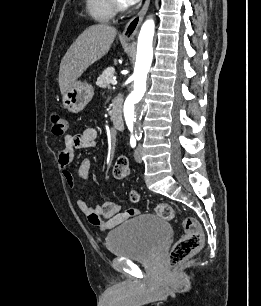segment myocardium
<instances>
[{"label": "myocardium", "mask_w": 261, "mask_h": 306, "mask_svg": "<svg viewBox=\"0 0 261 306\" xmlns=\"http://www.w3.org/2000/svg\"><path fill=\"white\" fill-rule=\"evenodd\" d=\"M114 8L118 11H124L126 9V6L122 3L121 0H112Z\"/></svg>", "instance_id": "obj_1"}]
</instances>
